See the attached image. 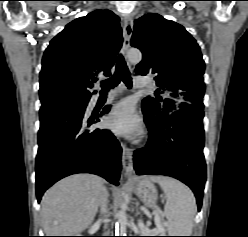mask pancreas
I'll list each match as a JSON object with an SVG mask.
<instances>
[{"instance_id":"1","label":"pancreas","mask_w":248,"mask_h":237,"mask_svg":"<svg viewBox=\"0 0 248 237\" xmlns=\"http://www.w3.org/2000/svg\"><path fill=\"white\" fill-rule=\"evenodd\" d=\"M145 229V228H143ZM165 232V229L163 227V224H162V227L160 229H157L155 233H164ZM143 233H150V231L148 230H144Z\"/></svg>"}]
</instances>
